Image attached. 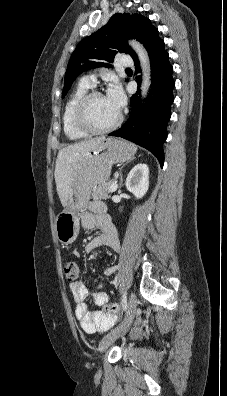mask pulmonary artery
<instances>
[{"mask_svg": "<svg viewBox=\"0 0 227 396\" xmlns=\"http://www.w3.org/2000/svg\"><path fill=\"white\" fill-rule=\"evenodd\" d=\"M120 65L124 67L133 66V60L130 57L125 56L120 60ZM95 81H96V77L93 73L87 74L82 78V82H84L89 86H94Z\"/></svg>", "mask_w": 227, "mask_h": 396, "instance_id": "obj_1", "label": "pulmonary artery"}]
</instances>
